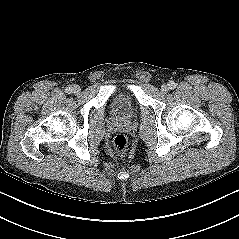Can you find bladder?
I'll return each instance as SVG.
<instances>
[{
    "instance_id": "bladder-1",
    "label": "bladder",
    "mask_w": 239,
    "mask_h": 239,
    "mask_svg": "<svg viewBox=\"0 0 239 239\" xmlns=\"http://www.w3.org/2000/svg\"><path fill=\"white\" fill-rule=\"evenodd\" d=\"M112 111L117 117L130 119L136 112V105L128 95H120L113 100Z\"/></svg>"
}]
</instances>
